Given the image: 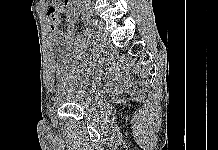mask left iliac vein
<instances>
[{"instance_id": "1", "label": "left iliac vein", "mask_w": 218, "mask_h": 150, "mask_svg": "<svg viewBox=\"0 0 218 150\" xmlns=\"http://www.w3.org/2000/svg\"><path fill=\"white\" fill-rule=\"evenodd\" d=\"M93 25L98 33L100 42H106L107 36L105 34V25L104 22L98 19L93 20Z\"/></svg>"}]
</instances>
